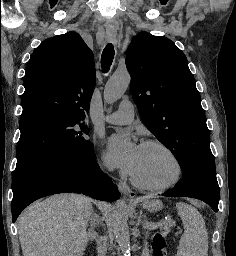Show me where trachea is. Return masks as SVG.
Masks as SVG:
<instances>
[{"mask_svg":"<svg viewBox=\"0 0 236 256\" xmlns=\"http://www.w3.org/2000/svg\"><path fill=\"white\" fill-rule=\"evenodd\" d=\"M114 53L115 52L113 49V45L111 43H108V45H106V47L104 48L101 57V67L104 73H107L110 69V66L114 58Z\"/></svg>","mask_w":236,"mask_h":256,"instance_id":"trachea-1","label":"trachea"}]
</instances>
